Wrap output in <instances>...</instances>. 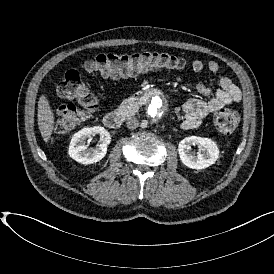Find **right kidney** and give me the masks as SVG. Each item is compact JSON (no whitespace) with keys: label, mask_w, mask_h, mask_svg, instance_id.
<instances>
[{"label":"right kidney","mask_w":274,"mask_h":274,"mask_svg":"<svg viewBox=\"0 0 274 274\" xmlns=\"http://www.w3.org/2000/svg\"><path fill=\"white\" fill-rule=\"evenodd\" d=\"M100 134L103 141L95 149H89L86 139ZM110 143V135L102 127H86L76 132L70 141L68 155L76 162L84 165L95 164L101 161L107 154V146Z\"/></svg>","instance_id":"ca27d5eb"}]
</instances>
